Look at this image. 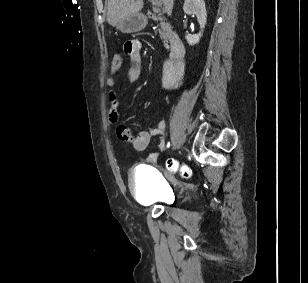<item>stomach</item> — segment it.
Instances as JSON below:
<instances>
[{"instance_id": "obj_1", "label": "stomach", "mask_w": 308, "mask_h": 283, "mask_svg": "<svg viewBox=\"0 0 308 283\" xmlns=\"http://www.w3.org/2000/svg\"><path fill=\"white\" fill-rule=\"evenodd\" d=\"M146 25L147 18L143 14L137 13L121 19L116 28L123 33H134L141 31Z\"/></svg>"}]
</instances>
